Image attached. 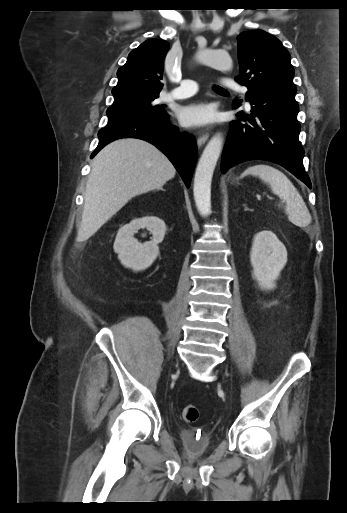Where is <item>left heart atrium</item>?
I'll return each mask as SVG.
<instances>
[{"mask_svg":"<svg viewBox=\"0 0 347 513\" xmlns=\"http://www.w3.org/2000/svg\"><path fill=\"white\" fill-rule=\"evenodd\" d=\"M213 117V111L208 104L195 103L185 106L180 112V122L185 127H196L207 124Z\"/></svg>","mask_w":347,"mask_h":513,"instance_id":"1","label":"left heart atrium"}]
</instances>
